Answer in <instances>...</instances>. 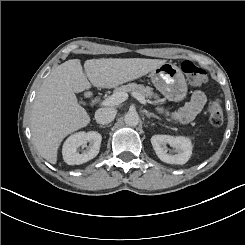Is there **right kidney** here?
Returning a JSON list of instances; mask_svg holds the SVG:
<instances>
[{"instance_id":"obj_1","label":"right kidney","mask_w":245,"mask_h":245,"mask_svg":"<svg viewBox=\"0 0 245 245\" xmlns=\"http://www.w3.org/2000/svg\"><path fill=\"white\" fill-rule=\"evenodd\" d=\"M102 136L96 131H78L71 134L63 143L62 158L68 165L82 164L93 159L99 152ZM90 146L81 153L77 150L81 145Z\"/></svg>"}]
</instances>
